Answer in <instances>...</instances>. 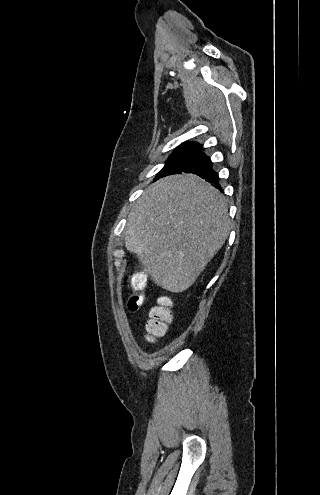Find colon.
<instances>
[{"instance_id": "5ec220e1", "label": "colon", "mask_w": 320, "mask_h": 495, "mask_svg": "<svg viewBox=\"0 0 320 495\" xmlns=\"http://www.w3.org/2000/svg\"><path fill=\"white\" fill-rule=\"evenodd\" d=\"M125 281L133 289L129 295L127 306L130 311L138 310L143 304V297L140 293L146 286V277L141 272H132L125 277ZM171 301L167 297L160 298L159 305L150 311V318L147 322V340L153 342L156 337L165 334L168 324L172 321L170 309Z\"/></svg>"}]
</instances>
